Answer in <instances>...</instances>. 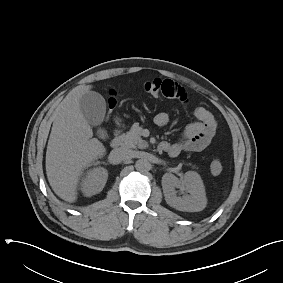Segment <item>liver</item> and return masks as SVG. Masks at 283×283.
I'll use <instances>...</instances> for the list:
<instances>
[{
    "label": "liver",
    "mask_w": 283,
    "mask_h": 283,
    "mask_svg": "<svg viewBox=\"0 0 283 283\" xmlns=\"http://www.w3.org/2000/svg\"><path fill=\"white\" fill-rule=\"evenodd\" d=\"M91 86H82L63 101L57 112L46 151V174L55 194L69 203L77 199L84 169L106 154L104 145L93 137L91 126L80 110V98Z\"/></svg>",
    "instance_id": "1"
}]
</instances>
